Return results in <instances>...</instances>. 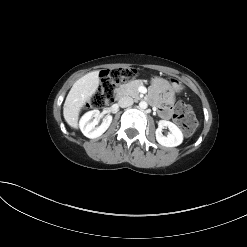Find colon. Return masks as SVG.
Masks as SVG:
<instances>
[{
    "instance_id": "5ec220e1",
    "label": "colon",
    "mask_w": 247,
    "mask_h": 247,
    "mask_svg": "<svg viewBox=\"0 0 247 247\" xmlns=\"http://www.w3.org/2000/svg\"><path fill=\"white\" fill-rule=\"evenodd\" d=\"M136 75L137 71L132 67L114 68L103 71L101 75L102 83L93 93L90 105L97 109L104 108L115 100L117 96V86L120 83L133 79ZM174 120L186 136L192 135L196 130L197 119L191 107L184 102H179L176 105Z\"/></svg>"
}]
</instances>
